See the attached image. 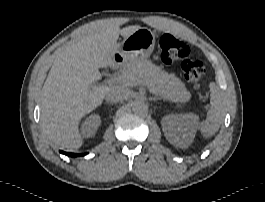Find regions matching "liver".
<instances>
[{"label":"liver","mask_w":265,"mask_h":202,"mask_svg":"<svg viewBox=\"0 0 265 202\" xmlns=\"http://www.w3.org/2000/svg\"><path fill=\"white\" fill-rule=\"evenodd\" d=\"M140 28L91 22L78 41L57 53L41 93V125L51 141L69 151L83 145L80 120L102 103L111 87L93 85L101 78L99 68L114 63L119 34L125 38Z\"/></svg>","instance_id":"obj_1"}]
</instances>
